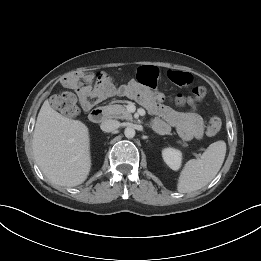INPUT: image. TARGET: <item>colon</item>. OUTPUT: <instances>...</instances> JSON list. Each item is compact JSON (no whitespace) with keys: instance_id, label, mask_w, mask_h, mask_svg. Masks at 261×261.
Here are the masks:
<instances>
[{"instance_id":"obj_1","label":"colon","mask_w":261,"mask_h":261,"mask_svg":"<svg viewBox=\"0 0 261 261\" xmlns=\"http://www.w3.org/2000/svg\"><path fill=\"white\" fill-rule=\"evenodd\" d=\"M97 79L98 81H102L109 79V77L99 74ZM204 96L205 89L203 87H196L193 90L191 97L176 96L173 98V101L180 106H185L202 100ZM52 104L59 112L69 117L75 116L78 112L76 98L69 91H62L59 94L55 95L52 99ZM221 125L222 122L219 117H210L207 123V133L209 135L217 134L221 129Z\"/></svg>"}]
</instances>
